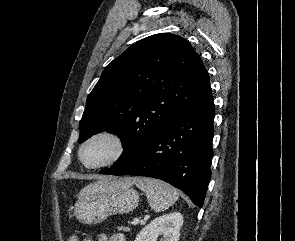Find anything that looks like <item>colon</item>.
<instances>
[{"mask_svg": "<svg viewBox=\"0 0 295 241\" xmlns=\"http://www.w3.org/2000/svg\"><path fill=\"white\" fill-rule=\"evenodd\" d=\"M69 241H79V240H78V238H76V237H71V238L69 239Z\"/></svg>", "mask_w": 295, "mask_h": 241, "instance_id": "colon-1", "label": "colon"}]
</instances>
